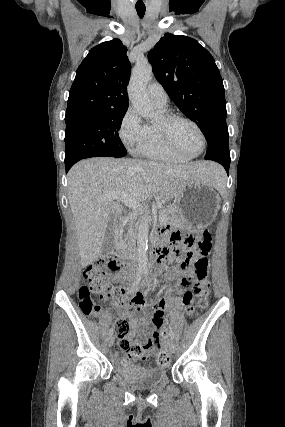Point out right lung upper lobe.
Instances as JSON below:
<instances>
[{
	"instance_id": "cb5924a9",
	"label": "right lung upper lobe",
	"mask_w": 285,
	"mask_h": 427,
	"mask_svg": "<svg viewBox=\"0 0 285 427\" xmlns=\"http://www.w3.org/2000/svg\"><path fill=\"white\" fill-rule=\"evenodd\" d=\"M119 39L92 48L76 72L65 120L108 110H127L131 64Z\"/></svg>"
}]
</instances>
